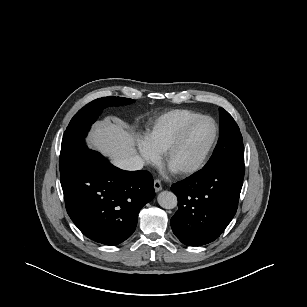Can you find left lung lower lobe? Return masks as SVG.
I'll use <instances>...</instances> for the list:
<instances>
[{"instance_id": "0a47b994", "label": "left lung lower lobe", "mask_w": 307, "mask_h": 307, "mask_svg": "<svg viewBox=\"0 0 307 307\" xmlns=\"http://www.w3.org/2000/svg\"><path fill=\"white\" fill-rule=\"evenodd\" d=\"M242 176L224 168L201 169L171 186L178 210L171 218L175 236L185 245L200 246L217 239L234 217Z\"/></svg>"}]
</instances>
